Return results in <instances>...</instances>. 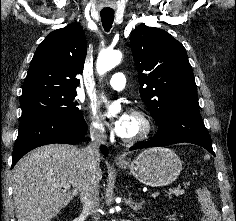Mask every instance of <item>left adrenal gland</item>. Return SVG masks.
<instances>
[{"mask_svg": "<svg viewBox=\"0 0 236 221\" xmlns=\"http://www.w3.org/2000/svg\"><path fill=\"white\" fill-rule=\"evenodd\" d=\"M127 203L131 209H133L135 212L140 210L144 204V201L141 202H134L132 200L131 194L129 193V198L127 200Z\"/></svg>", "mask_w": 236, "mask_h": 221, "instance_id": "left-adrenal-gland-1", "label": "left adrenal gland"}]
</instances>
